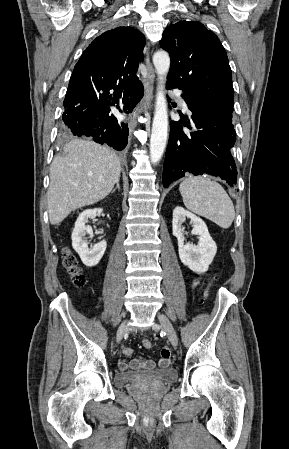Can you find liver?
Listing matches in <instances>:
<instances>
[{
  "label": "liver",
  "instance_id": "liver-1",
  "mask_svg": "<svg viewBox=\"0 0 289 449\" xmlns=\"http://www.w3.org/2000/svg\"><path fill=\"white\" fill-rule=\"evenodd\" d=\"M50 166L48 213L52 225L60 224L71 211L104 199L119 181L121 163L108 147L74 139Z\"/></svg>",
  "mask_w": 289,
  "mask_h": 449
}]
</instances>
